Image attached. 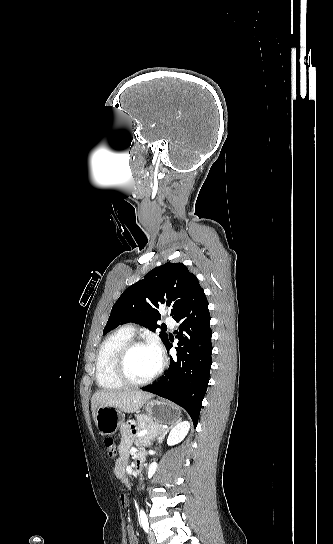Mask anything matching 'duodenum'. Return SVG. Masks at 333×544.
I'll return each mask as SVG.
<instances>
[{
  "label": "duodenum",
  "instance_id": "duodenum-1",
  "mask_svg": "<svg viewBox=\"0 0 333 544\" xmlns=\"http://www.w3.org/2000/svg\"><path fill=\"white\" fill-rule=\"evenodd\" d=\"M144 464H145L144 454L143 453H138L136 458H135V462H134V470L136 472L142 471V469L144 467Z\"/></svg>",
  "mask_w": 333,
  "mask_h": 544
}]
</instances>
